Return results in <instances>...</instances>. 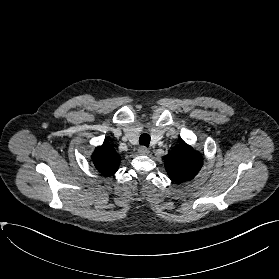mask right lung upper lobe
Returning <instances> with one entry per match:
<instances>
[{"label": "right lung upper lobe", "instance_id": "right-lung-upper-lobe-1", "mask_svg": "<svg viewBox=\"0 0 279 279\" xmlns=\"http://www.w3.org/2000/svg\"><path fill=\"white\" fill-rule=\"evenodd\" d=\"M92 159L97 170L104 175L114 174L121 161L120 156L108 142L95 149Z\"/></svg>", "mask_w": 279, "mask_h": 279}]
</instances>
